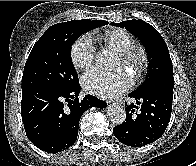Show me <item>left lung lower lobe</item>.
Returning a JSON list of instances; mask_svg holds the SVG:
<instances>
[{"label":"left lung lower lobe","instance_id":"1","mask_svg":"<svg viewBox=\"0 0 196 166\" xmlns=\"http://www.w3.org/2000/svg\"><path fill=\"white\" fill-rule=\"evenodd\" d=\"M136 99L140 111L135 113L137 106L126 107V120L113 128L114 136L123 144L141 147L159 139L169 123L173 89L154 87L139 93H130ZM135 113V114H134Z\"/></svg>","mask_w":196,"mask_h":166}]
</instances>
